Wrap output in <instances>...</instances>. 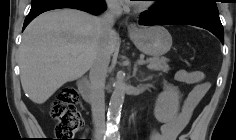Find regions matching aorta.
<instances>
[{
    "label": "aorta",
    "mask_w": 236,
    "mask_h": 140,
    "mask_svg": "<svg viewBox=\"0 0 236 140\" xmlns=\"http://www.w3.org/2000/svg\"><path fill=\"white\" fill-rule=\"evenodd\" d=\"M125 98V84L122 78L114 84V90L111 95V99L108 107V137L110 139H116L118 137L117 124L120 119L122 105Z\"/></svg>",
    "instance_id": "aorta-1"
}]
</instances>
